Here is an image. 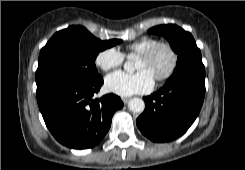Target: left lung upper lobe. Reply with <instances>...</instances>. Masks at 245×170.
Here are the masks:
<instances>
[{"instance_id": "5c2ea615", "label": "left lung upper lobe", "mask_w": 245, "mask_h": 170, "mask_svg": "<svg viewBox=\"0 0 245 170\" xmlns=\"http://www.w3.org/2000/svg\"><path fill=\"white\" fill-rule=\"evenodd\" d=\"M148 33L165 37L173 51L178 54L176 68L167 81L180 76L205 77L200 49L189 32L170 24L153 27L148 30Z\"/></svg>"}]
</instances>
